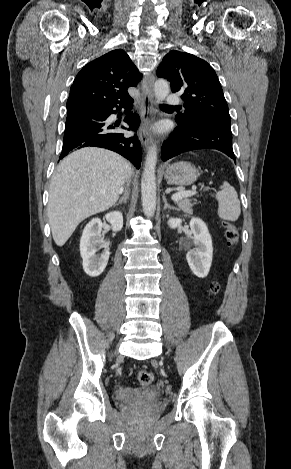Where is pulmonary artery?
<instances>
[{
  "label": "pulmonary artery",
  "instance_id": "pulmonary-artery-1",
  "mask_svg": "<svg viewBox=\"0 0 291 469\" xmlns=\"http://www.w3.org/2000/svg\"><path fill=\"white\" fill-rule=\"evenodd\" d=\"M166 102H167V105L174 107V106H178L181 103V100L177 95L170 94L167 96Z\"/></svg>",
  "mask_w": 291,
  "mask_h": 469
}]
</instances>
